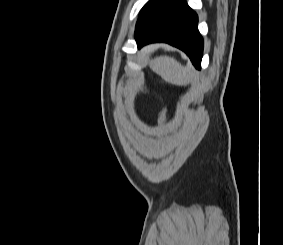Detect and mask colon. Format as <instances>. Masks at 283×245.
<instances>
[{
    "instance_id": "5ec220e1",
    "label": "colon",
    "mask_w": 283,
    "mask_h": 245,
    "mask_svg": "<svg viewBox=\"0 0 283 245\" xmlns=\"http://www.w3.org/2000/svg\"><path fill=\"white\" fill-rule=\"evenodd\" d=\"M166 114H167V110L165 108L162 109V111L159 113V115H158V122L160 124H163L165 122Z\"/></svg>"
}]
</instances>
